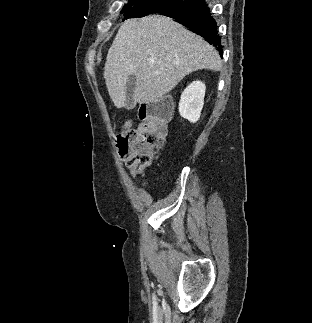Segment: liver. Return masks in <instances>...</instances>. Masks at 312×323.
<instances>
[{"mask_svg": "<svg viewBox=\"0 0 312 323\" xmlns=\"http://www.w3.org/2000/svg\"><path fill=\"white\" fill-rule=\"evenodd\" d=\"M219 52L167 16L125 20L108 50L104 80L116 108L126 106L128 76H136L133 104L159 102L196 70L219 72Z\"/></svg>", "mask_w": 312, "mask_h": 323, "instance_id": "obj_1", "label": "liver"}]
</instances>
